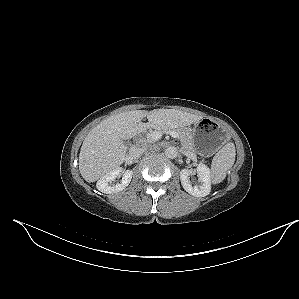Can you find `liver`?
Returning a JSON list of instances; mask_svg holds the SVG:
<instances>
[{"instance_id":"1","label":"liver","mask_w":299,"mask_h":299,"mask_svg":"<svg viewBox=\"0 0 299 299\" xmlns=\"http://www.w3.org/2000/svg\"><path fill=\"white\" fill-rule=\"evenodd\" d=\"M147 117L148 122L142 119ZM203 119L202 116L174 109L132 110L102 120L85 137L79 154V171L87 182H95L118 168L125 160L131 139L147 128L184 127Z\"/></svg>"}]
</instances>
